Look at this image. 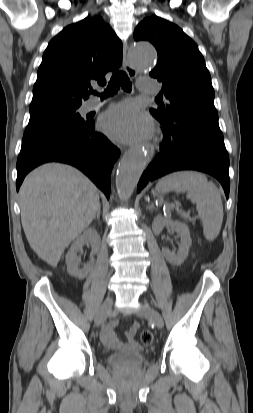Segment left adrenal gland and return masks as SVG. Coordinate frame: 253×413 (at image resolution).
Listing matches in <instances>:
<instances>
[{
	"mask_svg": "<svg viewBox=\"0 0 253 413\" xmlns=\"http://www.w3.org/2000/svg\"><path fill=\"white\" fill-rule=\"evenodd\" d=\"M148 209H149V210H152V209H153V206H149Z\"/></svg>",
	"mask_w": 253,
	"mask_h": 413,
	"instance_id": "1",
	"label": "left adrenal gland"
}]
</instances>
